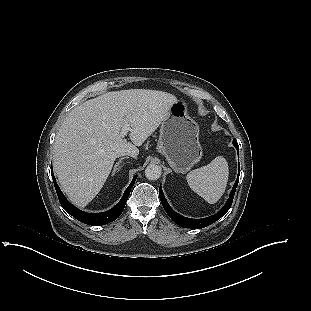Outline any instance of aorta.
I'll list each match as a JSON object with an SVG mask.
<instances>
[{
    "label": "aorta",
    "mask_w": 311,
    "mask_h": 311,
    "mask_svg": "<svg viewBox=\"0 0 311 311\" xmlns=\"http://www.w3.org/2000/svg\"><path fill=\"white\" fill-rule=\"evenodd\" d=\"M161 168L158 165L150 164L145 169V176L148 180H158L161 176Z\"/></svg>",
    "instance_id": "obj_1"
}]
</instances>
